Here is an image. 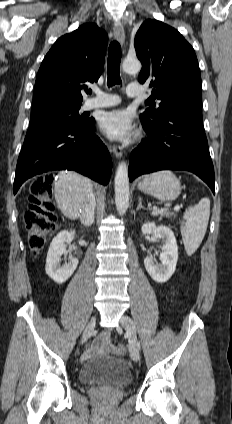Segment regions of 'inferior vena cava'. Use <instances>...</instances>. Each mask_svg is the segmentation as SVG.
<instances>
[{"label": "inferior vena cava", "instance_id": "obj_1", "mask_svg": "<svg viewBox=\"0 0 232 424\" xmlns=\"http://www.w3.org/2000/svg\"><path fill=\"white\" fill-rule=\"evenodd\" d=\"M95 206H96L95 198L92 191L90 190L87 193L86 201L82 209L80 210V214H79L80 221L85 226H90L94 222Z\"/></svg>", "mask_w": 232, "mask_h": 424}]
</instances>
